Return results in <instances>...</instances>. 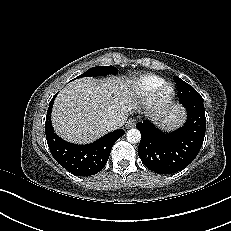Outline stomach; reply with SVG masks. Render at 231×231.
I'll return each mask as SVG.
<instances>
[{"label": "stomach", "instance_id": "1", "mask_svg": "<svg viewBox=\"0 0 231 231\" xmlns=\"http://www.w3.org/2000/svg\"><path fill=\"white\" fill-rule=\"evenodd\" d=\"M161 126L165 129L168 130H172L176 127V124L174 123V121L170 118V116L165 117L162 121H161Z\"/></svg>", "mask_w": 231, "mask_h": 231}]
</instances>
